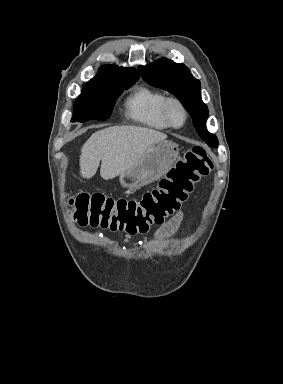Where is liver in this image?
Returning <instances> with one entry per match:
<instances>
[{
  "label": "liver",
  "mask_w": 283,
  "mask_h": 384,
  "mask_svg": "<svg viewBox=\"0 0 283 384\" xmlns=\"http://www.w3.org/2000/svg\"><path fill=\"white\" fill-rule=\"evenodd\" d=\"M166 138L162 132L140 126H113L99 130L82 146L80 174L90 180L95 176L101 160V178L113 180L133 168L152 144L163 142Z\"/></svg>",
  "instance_id": "6515ba94"
}]
</instances>
